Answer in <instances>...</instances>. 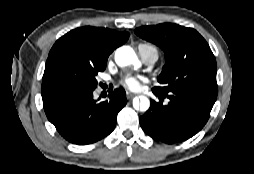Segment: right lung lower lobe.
I'll return each instance as SVG.
<instances>
[{"instance_id": "98d812e1", "label": "right lung lower lobe", "mask_w": 254, "mask_h": 174, "mask_svg": "<svg viewBox=\"0 0 254 174\" xmlns=\"http://www.w3.org/2000/svg\"><path fill=\"white\" fill-rule=\"evenodd\" d=\"M109 97L97 102L93 90L75 91L43 99V106L48 120L67 141L86 145L114 130L117 114L127 103L124 89L114 90Z\"/></svg>"}]
</instances>
